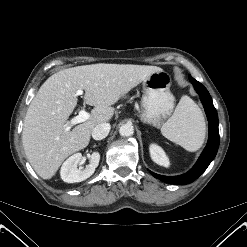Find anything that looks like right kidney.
Wrapping results in <instances>:
<instances>
[{"label":"right kidney","instance_id":"1","mask_svg":"<svg viewBox=\"0 0 247 247\" xmlns=\"http://www.w3.org/2000/svg\"><path fill=\"white\" fill-rule=\"evenodd\" d=\"M82 158L81 153H76L70 156L62 165L60 175L64 182L75 183L81 182L89 178L97 168L100 161V154L98 152H93L89 156V164L83 169H78Z\"/></svg>","mask_w":247,"mask_h":247}]
</instances>
